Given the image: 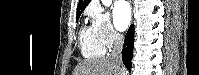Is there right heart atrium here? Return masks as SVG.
I'll return each mask as SVG.
<instances>
[{
    "label": "right heart atrium",
    "mask_w": 199,
    "mask_h": 75,
    "mask_svg": "<svg viewBox=\"0 0 199 75\" xmlns=\"http://www.w3.org/2000/svg\"><path fill=\"white\" fill-rule=\"evenodd\" d=\"M92 25L105 48H112L120 42L121 34L116 31L110 16L107 13L95 11L92 14Z\"/></svg>",
    "instance_id": "obj_1"
}]
</instances>
